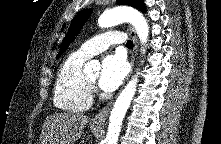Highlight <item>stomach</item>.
I'll return each mask as SVG.
<instances>
[{"instance_id": "stomach-1", "label": "stomach", "mask_w": 221, "mask_h": 144, "mask_svg": "<svg viewBox=\"0 0 221 144\" xmlns=\"http://www.w3.org/2000/svg\"><path fill=\"white\" fill-rule=\"evenodd\" d=\"M91 128H92L93 130H98V129L100 128V126H91Z\"/></svg>"}]
</instances>
